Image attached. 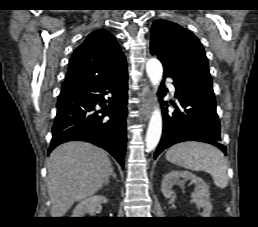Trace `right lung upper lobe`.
Here are the masks:
<instances>
[{"mask_svg": "<svg viewBox=\"0 0 258 227\" xmlns=\"http://www.w3.org/2000/svg\"><path fill=\"white\" fill-rule=\"evenodd\" d=\"M123 66L126 58L115 37L105 30H96L74 51L65 81L103 76Z\"/></svg>", "mask_w": 258, "mask_h": 227, "instance_id": "1", "label": "right lung upper lobe"}]
</instances>
